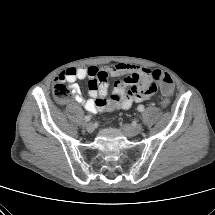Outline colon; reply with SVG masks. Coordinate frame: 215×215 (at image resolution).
<instances>
[{"instance_id":"obj_1","label":"colon","mask_w":215,"mask_h":215,"mask_svg":"<svg viewBox=\"0 0 215 215\" xmlns=\"http://www.w3.org/2000/svg\"><path fill=\"white\" fill-rule=\"evenodd\" d=\"M151 77L155 82L160 84L161 90L164 95L169 96L172 93L173 81L168 74L163 73L160 70H154L151 73ZM155 90H156V85L153 84L144 93L147 95H150V94L154 93ZM52 91H53L54 98L60 103L67 101V99L69 98V95H70L69 89L65 85L64 81L60 78H57L54 81ZM168 103H169V100L165 99L163 101L162 105L164 107H166L168 105Z\"/></svg>"}]
</instances>
